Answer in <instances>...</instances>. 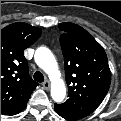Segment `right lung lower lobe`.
Wrapping results in <instances>:
<instances>
[{
    "instance_id": "obj_1",
    "label": "right lung lower lobe",
    "mask_w": 121,
    "mask_h": 121,
    "mask_svg": "<svg viewBox=\"0 0 121 121\" xmlns=\"http://www.w3.org/2000/svg\"><path fill=\"white\" fill-rule=\"evenodd\" d=\"M26 103H27V102H26ZM26 103H25L22 107H20L19 109H17L15 112H13V113H11V114H8V115H15V114L21 112V111L26 107Z\"/></svg>"
}]
</instances>
